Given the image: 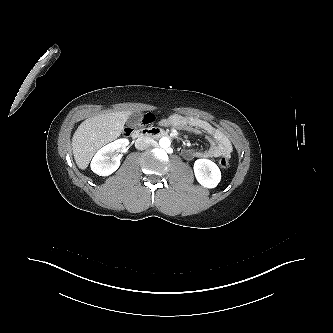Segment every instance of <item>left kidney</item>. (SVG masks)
<instances>
[{
  "label": "left kidney",
  "instance_id": "obj_1",
  "mask_svg": "<svg viewBox=\"0 0 333 333\" xmlns=\"http://www.w3.org/2000/svg\"><path fill=\"white\" fill-rule=\"evenodd\" d=\"M194 173L197 181L206 188H215L221 180L218 166L208 159H198L194 163Z\"/></svg>",
  "mask_w": 333,
  "mask_h": 333
}]
</instances>
